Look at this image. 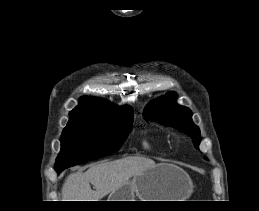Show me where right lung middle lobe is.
Listing matches in <instances>:
<instances>
[{
  "label": "right lung middle lobe",
  "mask_w": 259,
  "mask_h": 211,
  "mask_svg": "<svg viewBox=\"0 0 259 211\" xmlns=\"http://www.w3.org/2000/svg\"><path fill=\"white\" fill-rule=\"evenodd\" d=\"M133 114L110 117L71 115L61 135L55 170L116 152L131 130Z\"/></svg>",
  "instance_id": "obj_1"
}]
</instances>
